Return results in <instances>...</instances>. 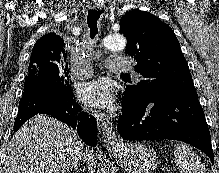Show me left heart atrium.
Segmentation results:
<instances>
[{"label":"left heart atrium","mask_w":219,"mask_h":173,"mask_svg":"<svg viewBox=\"0 0 219 173\" xmlns=\"http://www.w3.org/2000/svg\"><path fill=\"white\" fill-rule=\"evenodd\" d=\"M77 95L86 106L102 110L112 109L115 101L110 85L103 79L81 83Z\"/></svg>","instance_id":"obj_1"}]
</instances>
